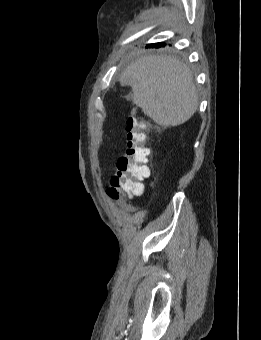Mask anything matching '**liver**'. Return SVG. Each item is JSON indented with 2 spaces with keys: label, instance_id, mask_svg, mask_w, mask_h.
<instances>
[{
  "label": "liver",
  "instance_id": "obj_1",
  "mask_svg": "<svg viewBox=\"0 0 261 340\" xmlns=\"http://www.w3.org/2000/svg\"><path fill=\"white\" fill-rule=\"evenodd\" d=\"M121 86H131L133 102L156 124L178 126L198 109L192 72L170 56H142L124 70Z\"/></svg>",
  "mask_w": 261,
  "mask_h": 340
}]
</instances>
